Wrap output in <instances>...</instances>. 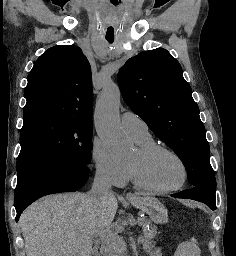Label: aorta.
Returning <instances> with one entry per match:
<instances>
[{"label":"aorta","instance_id":"obj_1","mask_svg":"<svg viewBox=\"0 0 236 256\" xmlns=\"http://www.w3.org/2000/svg\"><path fill=\"white\" fill-rule=\"evenodd\" d=\"M120 98L118 85L106 83L94 114L98 136L114 151H123L128 145L120 124Z\"/></svg>","mask_w":236,"mask_h":256}]
</instances>
